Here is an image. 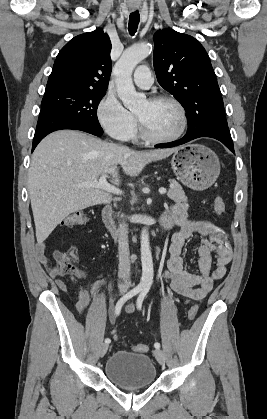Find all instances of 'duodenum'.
<instances>
[{"label":"duodenum","mask_w":267,"mask_h":419,"mask_svg":"<svg viewBox=\"0 0 267 419\" xmlns=\"http://www.w3.org/2000/svg\"><path fill=\"white\" fill-rule=\"evenodd\" d=\"M102 221L106 229L113 235L117 236V224L114 218V210L111 205H106L102 210ZM172 223L167 218L163 217L160 219L159 227L162 232L168 230Z\"/></svg>","instance_id":"1"}]
</instances>
